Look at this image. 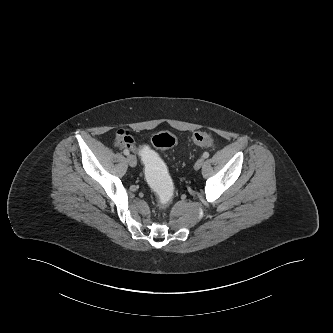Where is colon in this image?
Listing matches in <instances>:
<instances>
[{
    "instance_id": "colon-1",
    "label": "colon",
    "mask_w": 333,
    "mask_h": 333,
    "mask_svg": "<svg viewBox=\"0 0 333 333\" xmlns=\"http://www.w3.org/2000/svg\"><path fill=\"white\" fill-rule=\"evenodd\" d=\"M191 141L197 146L210 147L213 143V138L206 131H197L192 134ZM151 143L155 149L167 150L175 145L176 138L169 132H160L152 137ZM136 152L139 159L143 162L144 169L147 172V181L155 190L160 204L165 206L173 202L176 195L165 159L157 157L155 150L145 143L139 145Z\"/></svg>"
}]
</instances>
